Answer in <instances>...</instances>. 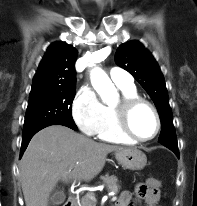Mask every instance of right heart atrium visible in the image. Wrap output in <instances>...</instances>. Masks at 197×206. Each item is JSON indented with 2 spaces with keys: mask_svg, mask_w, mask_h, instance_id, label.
<instances>
[{
  "mask_svg": "<svg viewBox=\"0 0 197 206\" xmlns=\"http://www.w3.org/2000/svg\"><path fill=\"white\" fill-rule=\"evenodd\" d=\"M104 115V105L89 86H82L72 103V116L86 135H95Z\"/></svg>",
  "mask_w": 197,
  "mask_h": 206,
  "instance_id": "obj_1",
  "label": "right heart atrium"
}]
</instances>
